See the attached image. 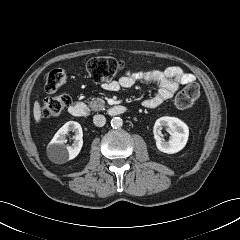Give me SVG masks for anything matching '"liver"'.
I'll return each instance as SVG.
<instances>
[{"label":"liver","mask_w":240,"mask_h":240,"mask_svg":"<svg viewBox=\"0 0 240 240\" xmlns=\"http://www.w3.org/2000/svg\"><path fill=\"white\" fill-rule=\"evenodd\" d=\"M33 114H34V119L38 123L41 120V107L38 101L34 103V108H33Z\"/></svg>","instance_id":"obj_1"}]
</instances>
